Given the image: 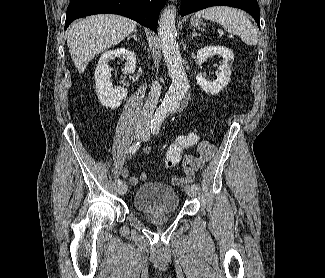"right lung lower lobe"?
<instances>
[{
  "mask_svg": "<svg viewBox=\"0 0 325 278\" xmlns=\"http://www.w3.org/2000/svg\"><path fill=\"white\" fill-rule=\"evenodd\" d=\"M165 3L166 0H71L64 29L77 18L112 13L131 18L157 32L159 12Z\"/></svg>",
  "mask_w": 325,
  "mask_h": 278,
  "instance_id": "1",
  "label": "right lung lower lobe"
}]
</instances>
